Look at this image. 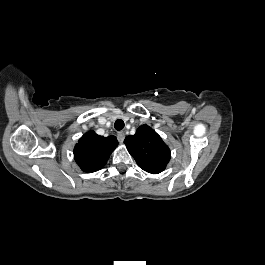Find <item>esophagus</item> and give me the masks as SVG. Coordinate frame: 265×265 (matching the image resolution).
Returning <instances> with one entry per match:
<instances>
[{
    "label": "esophagus",
    "mask_w": 265,
    "mask_h": 265,
    "mask_svg": "<svg viewBox=\"0 0 265 265\" xmlns=\"http://www.w3.org/2000/svg\"><path fill=\"white\" fill-rule=\"evenodd\" d=\"M124 138H125V134H124V132H122V131L118 132V134H117V139H118V141H119L120 143H123Z\"/></svg>",
    "instance_id": "esophagus-1"
}]
</instances>
